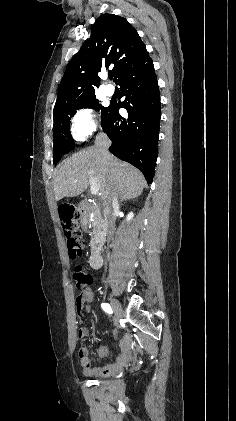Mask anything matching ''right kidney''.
I'll use <instances>...</instances> for the list:
<instances>
[{"instance_id":"obj_1","label":"right kidney","mask_w":236,"mask_h":421,"mask_svg":"<svg viewBox=\"0 0 236 421\" xmlns=\"http://www.w3.org/2000/svg\"><path fill=\"white\" fill-rule=\"evenodd\" d=\"M132 217H134L133 213H129V215H127V221H131Z\"/></svg>"}]
</instances>
